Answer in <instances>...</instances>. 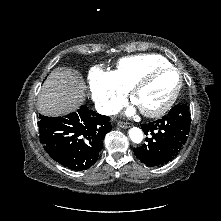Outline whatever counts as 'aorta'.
Here are the masks:
<instances>
[{"label": "aorta", "instance_id": "762f6f07", "mask_svg": "<svg viewBox=\"0 0 221 221\" xmlns=\"http://www.w3.org/2000/svg\"><path fill=\"white\" fill-rule=\"evenodd\" d=\"M129 137L134 143H141L143 140V132L140 128L133 127L129 130Z\"/></svg>", "mask_w": 221, "mask_h": 221}]
</instances>
